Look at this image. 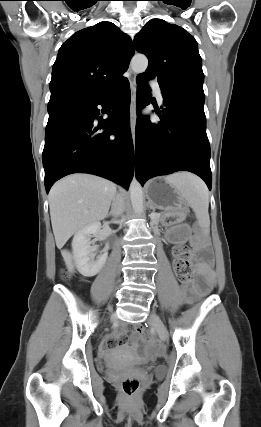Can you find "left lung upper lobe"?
I'll return each mask as SVG.
<instances>
[{"instance_id":"left-lung-upper-lobe-1","label":"left lung upper lobe","mask_w":261,"mask_h":427,"mask_svg":"<svg viewBox=\"0 0 261 427\" xmlns=\"http://www.w3.org/2000/svg\"><path fill=\"white\" fill-rule=\"evenodd\" d=\"M135 48L149 59L143 79L157 78L161 89H186L204 95L202 59L195 38L185 29L152 19L134 39Z\"/></svg>"}]
</instances>
